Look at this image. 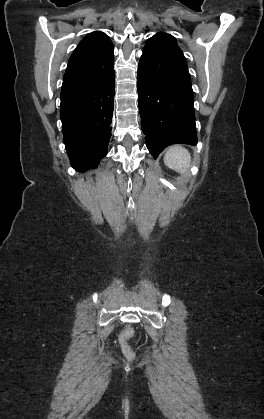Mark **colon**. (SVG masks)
Wrapping results in <instances>:
<instances>
[{
	"mask_svg": "<svg viewBox=\"0 0 264 419\" xmlns=\"http://www.w3.org/2000/svg\"><path fill=\"white\" fill-rule=\"evenodd\" d=\"M134 334V329L132 327H127L123 330L121 336H120V343L122 347L123 355L127 360H134L135 354L133 350L130 347L129 340Z\"/></svg>",
	"mask_w": 264,
	"mask_h": 419,
	"instance_id": "1",
	"label": "colon"
}]
</instances>
